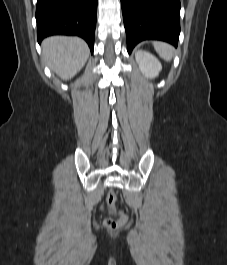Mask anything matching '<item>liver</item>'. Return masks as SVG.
Masks as SVG:
<instances>
[{
	"mask_svg": "<svg viewBox=\"0 0 227 265\" xmlns=\"http://www.w3.org/2000/svg\"><path fill=\"white\" fill-rule=\"evenodd\" d=\"M42 52L50 69L65 81L83 68L89 56L86 42L79 37H48L42 43Z\"/></svg>",
	"mask_w": 227,
	"mask_h": 265,
	"instance_id": "obj_1",
	"label": "liver"
}]
</instances>
